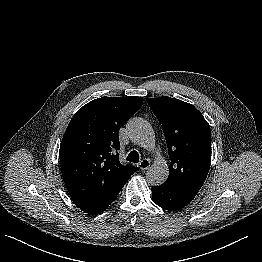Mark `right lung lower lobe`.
I'll return each instance as SVG.
<instances>
[{"instance_id":"obj_1","label":"right lung lower lobe","mask_w":262,"mask_h":262,"mask_svg":"<svg viewBox=\"0 0 262 262\" xmlns=\"http://www.w3.org/2000/svg\"><path fill=\"white\" fill-rule=\"evenodd\" d=\"M113 201H111L110 203L104 206H95V207H79L78 206V207L90 215H96V214L103 212Z\"/></svg>"}]
</instances>
